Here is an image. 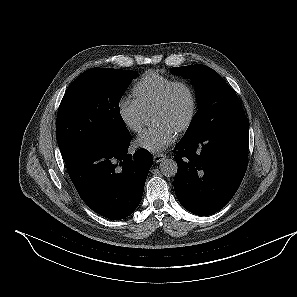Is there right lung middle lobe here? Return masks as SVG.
I'll list each match as a JSON object with an SVG mask.
<instances>
[{
    "label": "right lung middle lobe",
    "instance_id": "right-lung-middle-lobe-1",
    "mask_svg": "<svg viewBox=\"0 0 297 297\" xmlns=\"http://www.w3.org/2000/svg\"><path fill=\"white\" fill-rule=\"evenodd\" d=\"M138 75L129 70L92 68L73 81L60 103L56 124L65 163L89 147L124 142L131 136L119 101Z\"/></svg>",
    "mask_w": 297,
    "mask_h": 297
}]
</instances>
